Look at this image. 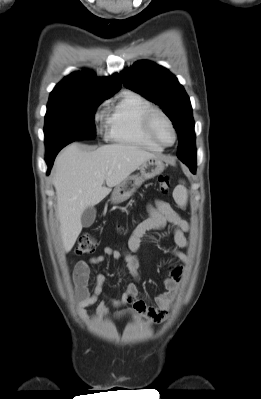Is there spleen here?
I'll use <instances>...</instances> for the list:
<instances>
[{
    "label": "spleen",
    "instance_id": "1",
    "mask_svg": "<svg viewBox=\"0 0 261 399\" xmlns=\"http://www.w3.org/2000/svg\"><path fill=\"white\" fill-rule=\"evenodd\" d=\"M173 197L180 207H185L188 200V192L184 185H179L173 192Z\"/></svg>",
    "mask_w": 261,
    "mask_h": 399
}]
</instances>
